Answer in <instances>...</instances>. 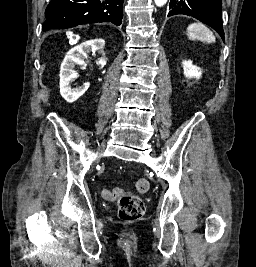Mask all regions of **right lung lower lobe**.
<instances>
[{"label":"right lung lower lobe","instance_id":"right-lung-lower-lobe-1","mask_svg":"<svg viewBox=\"0 0 256 267\" xmlns=\"http://www.w3.org/2000/svg\"><path fill=\"white\" fill-rule=\"evenodd\" d=\"M45 17L43 31L98 22L121 25L123 0H51Z\"/></svg>","mask_w":256,"mask_h":267}]
</instances>
